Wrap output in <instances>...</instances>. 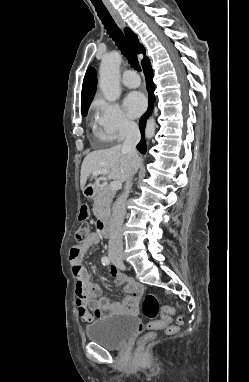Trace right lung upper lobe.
<instances>
[{
	"instance_id": "cb5924a9",
	"label": "right lung upper lobe",
	"mask_w": 249,
	"mask_h": 382,
	"mask_svg": "<svg viewBox=\"0 0 249 382\" xmlns=\"http://www.w3.org/2000/svg\"><path fill=\"white\" fill-rule=\"evenodd\" d=\"M125 34L127 38L130 40L135 51L138 54L139 53L144 54V59L142 60V62L147 60L148 58L145 56V48L139 43L137 36L132 32V30L129 28H125ZM96 83H97L96 71L94 68L90 67L86 71L84 81H83L82 93H81V112L89 108V105L96 91Z\"/></svg>"
}]
</instances>
